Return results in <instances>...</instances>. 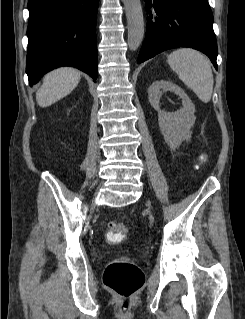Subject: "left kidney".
<instances>
[{"instance_id":"left-kidney-1","label":"left kidney","mask_w":245,"mask_h":319,"mask_svg":"<svg viewBox=\"0 0 245 319\" xmlns=\"http://www.w3.org/2000/svg\"><path fill=\"white\" fill-rule=\"evenodd\" d=\"M174 92L182 99L183 107L176 112H165L160 109V98L163 92ZM151 106L158 111L160 131L171 149L178 148L181 143L191 138V128L196 117L195 106L182 88L168 80L153 82L148 89Z\"/></svg>"}]
</instances>
